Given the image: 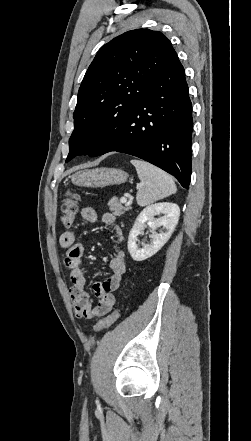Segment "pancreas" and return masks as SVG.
I'll list each match as a JSON object with an SVG mask.
<instances>
[{
    "instance_id": "pancreas-1",
    "label": "pancreas",
    "mask_w": 251,
    "mask_h": 441,
    "mask_svg": "<svg viewBox=\"0 0 251 441\" xmlns=\"http://www.w3.org/2000/svg\"><path fill=\"white\" fill-rule=\"evenodd\" d=\"M130 209L129 206H123L117 197H113L109 202V210L115 216H121L124 212Z\"/></svg>"
}]
</instances>
